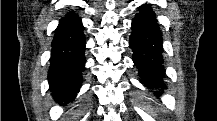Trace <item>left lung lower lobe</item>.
<instances>
[{"label":"left lung lower lobe","instance_id":"obj_1","mask_svg":"<svg viewBox=\"0 0 217 121\" xmlns=\"http://www.w3.org/2000/svg\"><path fill=\"white\" fill-rule=\"evenodd\" d=\"M129 45L133 62L139 70L141 82L149 88L164 87L162 33L150 4L140 6L132 21Z\"/></svg>","mask_w":217,"mask_h":121}]
</instances>
